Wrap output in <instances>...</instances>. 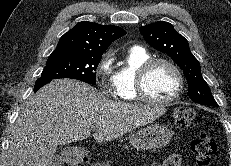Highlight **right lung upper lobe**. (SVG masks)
I'll return each mask as SVG.
<instances>
[{"mask_svg": "<svg viewBox=\"0 0 231 166\" xmlns=\"http://www.w3.org/2000/svg\"><path fill=\"white\" fill-rule=\"evenodd\" d=\"M125 34L126 31L118 26L83 21L60 38L56 50L102 55L113 41Z\"/></svg>", "mask_w": 231, "mask_h": 166, "instance_id": "1", "label": "right lung upper lobe"}]
</instances>
